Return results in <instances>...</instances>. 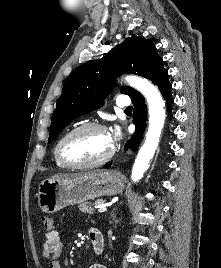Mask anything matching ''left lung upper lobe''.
Listing matches in <instances>:
<instances>
[{"mask_svg":"<svg viewBox=\"0 0 221 268\" xmlns=\"http://www.w3.org/2000/svg\"><path fill=\"white\" fill-rule=\"evenodd\" d=\"M124 72L141 75L158 85L167 77L163 61L155 45L144 37H129L103 58L76 68L65 80L63 92L56 103L48 143L73 119L99 108L114 88L113 80ZM121 93L140 95L131 87Z\"/></svg>","mask_w":221,"mask_h":268,"instance_id":"obj_1","label":"left lung upper lobe"}]
</instances>
